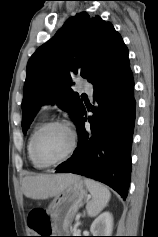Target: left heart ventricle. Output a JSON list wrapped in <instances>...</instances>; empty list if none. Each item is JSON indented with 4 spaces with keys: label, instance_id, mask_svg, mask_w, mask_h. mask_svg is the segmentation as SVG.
I'll list each match as a JSON object with an SVG mask.
<instances>
[{
    "label": "left heart ventricle",
    "instance_id": "1",
    "mask_svg": "<svg viewBox=\"0 0 158 237\" xmlns=\"http://www.w3.org/2000/svg\"><path fill=\"white\" fill-rule=\"evenodd\" d=\"M71 137L69 132L60 126L45 131L38 142V153L44 160L61 158L69 149Z\"/></svg>",
    "mask_w": 158,
    "mask_h": 237
}]
</instances>
